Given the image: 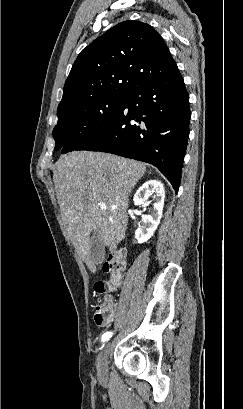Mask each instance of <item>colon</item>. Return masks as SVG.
Segmentation results:
<instances>
[{
  "label": "colon",
  "mask_w": 243,
  "mask_h": 409,
  "mask_svg": "<svg viewBox=\"0 0 243 409\" xmlns=\"http://www.w3.org/2000/svg\"><path fill=\"white\" fill-rule=\"evenodd\" d=\"M126 268V258L123 249L112 250L104 265V270L109 274L108 281L97 282L94 286L98 294H105L113 291L119 286ZM112 317V309L106 301H100L95 307L94 321L97 325H105Z\"/></svg>",
  "instance_id": "5ec220e1"
}]
</instances>
